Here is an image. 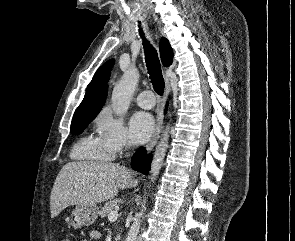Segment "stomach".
Segmentation results:
<instances>
[{
	"instance_id": "stomach-1",
	"label": "stomach",
	"mask_w": 295,
	"mask_h": 241,
	"mask_svg": "<svg viewBox=\"0 0 295 241\" xmlns=\"http://www.w3.org/2000/svg\"><path fill=\"white\" fill-rule=\"evenodd\" d=\"M99 214V209L94 205H76L70 215V224L73 228L78 229L82 226L93 224Z\"/></svg>"
}]
</instances>
